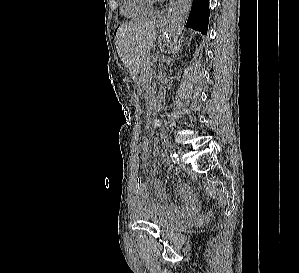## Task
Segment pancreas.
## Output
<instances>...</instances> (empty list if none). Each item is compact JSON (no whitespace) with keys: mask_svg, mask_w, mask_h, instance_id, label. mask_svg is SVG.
<instances>
[{"mask_svg":"<svg viewBox=\"0 0 299 273\" xmlns=\"http://www.w3.org/2000/svg\"><path fill=\"white\" fill-rule=\"evenodd\" d=\"M152 66H153V62L151 61V59L149 57H147L142 63L141 74H142V77L146 81L149 80V78L151 77V75L153 73Z\"/></svg>","mask_w":299,"mask_h":273,"instance_id":"1","label":"pancreas"}]
</instances>
